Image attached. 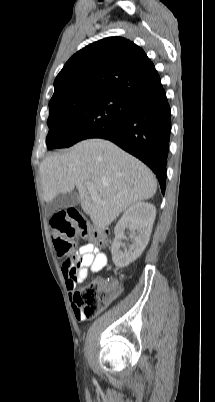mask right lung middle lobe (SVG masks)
<instances>
[{"instance_id":"1","label":"right lung middle lobe","mask_w":215,"mask_h":402,"mask_svg":"<svg viewBox=\"0 0 215 402\" xmlns=\"http://www.w3.org/2000/svg\"><path fill=\"white\" fill-rule=\"evenodd\" d=\"M132 102L111 94L51 100L46 138L48 149L69 147L106 131L126 116Z\"/></svg>"}]
</instances>
